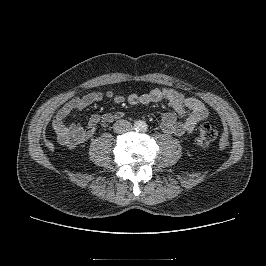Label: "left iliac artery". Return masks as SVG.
I'll return each instance as SVG.
<instances>
[{
	"label": "left iliac artery",
	"mask_w": 266,
	"mask_h": 266,
	"mask_svg": "<svg viewBox=\"0 0 266 266\" xmlns=\"http://www.w3.org/2000/svg\"><path fill=\"white\" fill-rule=\"evenodd\" d=\"M146 129H147V125L144 124V125L142 126V130L145 131Z\"/></svg>",
	"instance_id": "44dca946"
}]
</instances>
